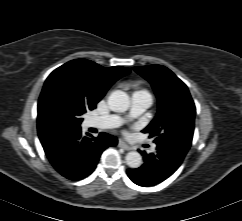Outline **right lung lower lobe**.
Segmentation results:
<instances>
[{
	"mask_svg": "<svg viewBox=\"0 0 242 221\" xmlns=\"http://www.w3.org/2000/svg\"><path fill=\"white\" fill-rule=\"evenodd\" d=\"M116 144V137L103 132L96 138L82 137L79 128L59 132L42 146L53 167L64 177L76 181L91 174L101 153Z\"/></svg>",
	"mask_w": 242,
	"mask_h": 221,
	"instance_id": "obj_1",
	"label": "right lung lower lobe"
}]
</instances>
